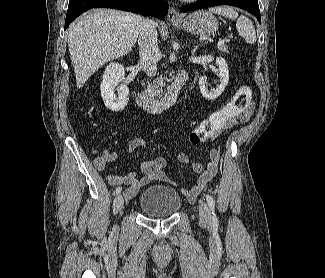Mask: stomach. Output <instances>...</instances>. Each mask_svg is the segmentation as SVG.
<instances>
[{
    "label": "stomach",
    "instance_id": "obj_1",
    "mask_svg": "<svg viewBox=\"0 0 325 278\" xmlns=\"http://www.w3.org/2000/svg\"><path fill=\"white\" fill-rule=\"evenodd\" d=\"M176 27L200 36H210L218 30V21L208 11H195L179 21H173Z\"/></svg>",
    "mask_w": 325,
    "mask_h": 278
}]
</instances>
